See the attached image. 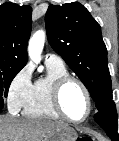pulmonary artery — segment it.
Listing matches in <instances>:
<instances>
[{
	"instance_id": "pulmonary-artery-1",
	"label": "pulmonary artery",
	"mask_w": 119,
	"mask_h": 141,
	"mask_svg": "<svg viewBox=\"0 0 119 141\" xmlns=\"http://www.w3.org/2000/svg\"><path fill=\"white\" fill-rule=\"evenodd\" d=\"M46 62H52L57 64H64L63 59L54 53H48L45 57Z\"/></svg>"
}]
</instances>
